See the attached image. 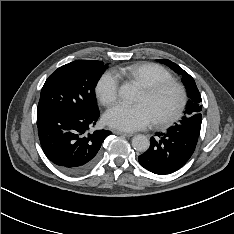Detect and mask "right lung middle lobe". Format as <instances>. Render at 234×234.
<instances>
[{
    "label": "right lung middle lobe",
    "instance_id": "obj_1",
    "mask_svg": "<svg viewBox=\"0 0 234 234\" xmlns=\"http://www.w3.org/2000/svg\"><path fill=\"white\" fill-rule=\"evenodd\" d=\"M107 64L76 60L59 67L42 87L37 115L66 110L84 115L97 114L95 87Z\"/></svg>",
    "mask_w": 234,
    "mask_h": 234
}]
</instances>
